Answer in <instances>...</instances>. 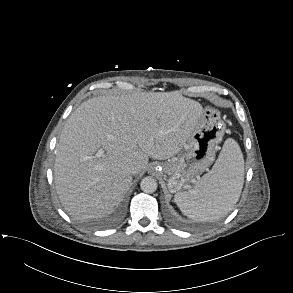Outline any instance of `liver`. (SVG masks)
<instances>
[{"instance_id":"6515ba94","label":"liver","mask_w":293,"mask_h":293,"mask_svg":"<svg viewBox=\"0 0 293 293\" xmlns=\"http://www.w3.org/2000/svg\"><path fill=\"white\" fill-rule=\"evenodd\" d=\"M203 107L180 91L100 96L68 118L56 146L54 180L67 213L76 220L110 214L149 158L174 157L194 132Z\"/></svg>"}]
</instances>
